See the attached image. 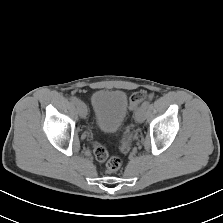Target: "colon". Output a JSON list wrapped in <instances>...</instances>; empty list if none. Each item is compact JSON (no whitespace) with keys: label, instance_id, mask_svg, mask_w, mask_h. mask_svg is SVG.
<instances>
[{"label":"colon","instance_id":"5ec220e1","mask_svg":"<svg viewBox=\"0 0 223 223\" xmlns=\"http://www.w3.org/2000/svg\"><path fill=\"white\" fill-rule=\"evenodd\" d=\"M149 97V94L147 91H138L133 93L130 96V102L129 107L131 110H135L144 100H146ZM131 144V137L129 132L126 130L123 133L122 136V144H121V151L123 153L127 152L129 150ZM93 152L95 155V158L100 162H105L106 169L109 173H114L119 170L121 167L122 161L117 156H108V152L106 148L100 144L96 143L93 147Z\"/></svg>","mask_w":223,"mask_h":223}]
</instances>
